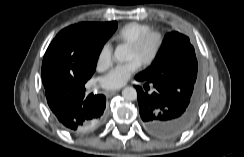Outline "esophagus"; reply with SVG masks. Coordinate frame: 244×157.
Wrapping results in <instances>:
<instances>
[{"label": "esophagus", "mask_w": 244, "mask_h": 157, "mask_svg": "<svg viewBox=\"0 0 244 157\" xmlns=\"http://www.w3.org/2000/svg\"><path fill=\"white\" fill-rule=\"evenodd\" d=\"M118 92H119V89H118V90L108 91V92H107V95H108L109 97H111V96H114L115 94H117Z\"/></svg>", "instance_id": "34e87169"}]
</instances>
